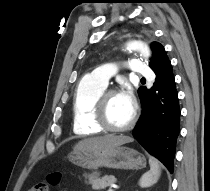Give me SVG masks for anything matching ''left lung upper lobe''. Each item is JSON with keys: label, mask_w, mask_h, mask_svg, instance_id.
<instances>
[{"label": "left lung upper lobe", "mask_w": 210, "mask_h": 191, "mask_svg": "<svg viewBox=\"0 0 210 191\" xmlns=\"http://www.w3.org/2000/svg\"><path fill=\"white\" fill-rule=\"evenodd\" d=\"M151 48H152V51H153V59H152V62L150 63V65H152L157 60L158 56L161 53L165 52L164 47L158 42H153L151 44Z\"/></svg>", "instance_id": "left-lung-upper-lobe-1"}]
</instances>
